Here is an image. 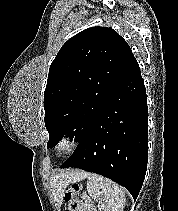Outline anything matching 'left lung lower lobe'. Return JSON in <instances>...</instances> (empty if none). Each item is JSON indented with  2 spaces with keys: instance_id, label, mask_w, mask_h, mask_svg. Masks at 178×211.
I'll list each match as a JSON object with an SVG mask.
<instances>
[{
  "instance_id": "obj_1",
  "label": "left lung lower lobe",
  "mask_w": 178,
  "mask_h": 211,
  "mask_svg": "<svg viewBox=\"0 0 178 211\" xmlns=\"http://www.w3.org/2000/svg\"><path fill=\"white\" fill-rule=\"evenodd\" d=\"M147 122L146 89L133 57L89 133L60 167L101 174L126 187L136 199L147 169Z\"/></svg>"
}]
</instances>
